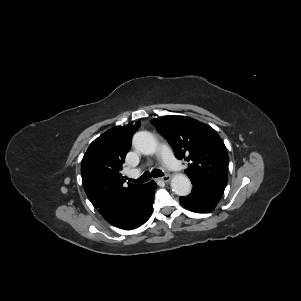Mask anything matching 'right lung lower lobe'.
Instances as JSON below:
<instances>
[{
    "instance_id": "1",
    "label": "right lung lower lobe",
    "mask_w": 301,
    "mask_h": 301,
    "mask_svg": "<svg viewBox=\"0 0 301 301\" xmlns=\"http://www.w3.org/2000/svg\"><path fill=\"white\" fill-rule=\"evenodd\" d=\"M155 189L156 184L153 181L142 184L128 210L114 226L120 229L130 230L144 224L150 218L153 211L152 204Z\"/></svg>"
}]
</instances>
